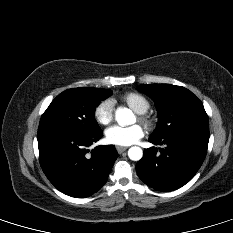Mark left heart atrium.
<instances>
[{"label": "left heart atrium", "mask_w": 233, "mask_h": 233, "mask_svg": "<svg viewBox=\"0 0 233 233\" xmlns=\"http://www.w3.org/2000/svg\"><path fill=\"white\" fill-rule=\"evenodd\" d=\"M144 136L140 125L119 126L115 125L106 130V139L110 144L129 146L138 142Z\"/></svg>", "instance_id": "left-heart-atrium-1"}]
</instances>
